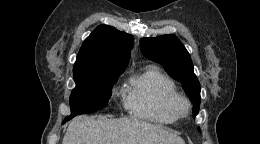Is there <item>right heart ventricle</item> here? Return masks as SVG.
<instances>
[{
	"mask_svg": "<svg viewBox=\"0 0 260 144\" xmlns=\"http://www.w3.org/2000/svg\"><path fill=\"white\" fill-rule=\"evenodd\" d=\"M180 96L175 83L155 66H147L128 83L125 107L134 117L159 124H174L178 117L171 102Z\"/></svg>",
	"mask_w": 260,
	"mask_h": 144,
	"instance_id": "right-heart-ventricle-1",
	"label": "right heart ventricle"
}]
</instances>
